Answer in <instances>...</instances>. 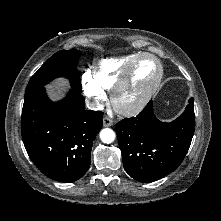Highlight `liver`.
I'll use <instances>...</instances> for the list:
<instances>
[{"instance_id":"liver-1","label":"liver","mask_w":221,"mask_h":221,"mask_svg":"<svg viewBox=\"0 0 221 221\" xmlns=\"http://www.w3.org/2000/svg\"><path fill=\"white\" fill-rule=\"evenodd\" d=\"M67 88L64 81H57L51 85L48 86L49 92L52 97L59 96L65 91Z\"/></svg>"}]
</instances>
